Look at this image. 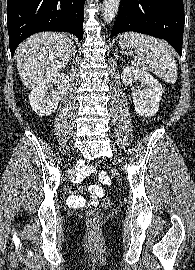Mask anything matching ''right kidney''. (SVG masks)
I'll use <instances>...</instances> for the list:
<instances>
[{"label":"right kidney","instance_id":"obj_1","mask_svg":"<svg viewBox=\"0 0 195 270\" xmlns=\"http://www.w3.org/2000/svg\"><path fill=\"white\" fill-rule=\"evenodd\" d=\"M68 83L69 77L64 73H56L42 80L29 95L32 109L39 116H47L55 112ZM53 85H56V89H52ZM48 90H50L49 93Z\"/></svg>","mask_w":195,"mask_h":270}]
</instances>
